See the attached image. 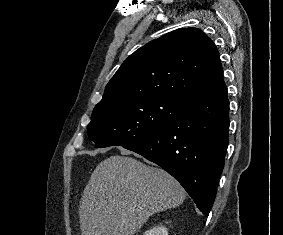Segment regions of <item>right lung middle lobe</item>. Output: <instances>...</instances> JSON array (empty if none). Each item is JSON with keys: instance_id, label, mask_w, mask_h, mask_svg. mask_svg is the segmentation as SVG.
Instances as JSON below:
<instances>
[{"instance_id": "obj_1", "label": "right lung middle lobe", "mask_w": 283, "mask_h": 235, "mask_svg": "<svg viewBox=\"0 0 283 235\" xmlns=\"http://www.w3.org/2000/svg\"><path fill=\"white\" fill-rule=\"evenodd\" d=\"M181 102L169 97H130L98 105L88 125L96 147L125 146L164 128Z\"/></svg>"}]
</instances>
